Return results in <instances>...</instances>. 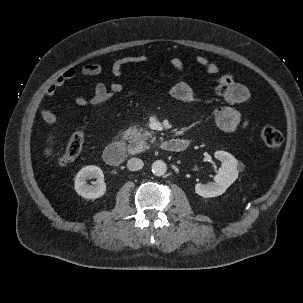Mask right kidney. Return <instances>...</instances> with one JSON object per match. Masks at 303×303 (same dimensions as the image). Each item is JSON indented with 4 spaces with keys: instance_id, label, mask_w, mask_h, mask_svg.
<instances>
[{
    "instance_id": "obj_1",
    "label": "right kidney",
    "mask_w": 303,
    "mask_h": 303,
    "mask_svg": "<svg viewBox=\"0 0 303 303\" xmlns=\"http://www.w3.org/2000/svg\"><path fill=\"white\" fill-rule=\"evenodd\" d=\"M97 178L94 185L86 183L87 179ZM75 191L83 198L96 199L102 197L106 192V184L101 168L89 165L83 167L75 177Z\"/></svg>"
}]
</instances>
